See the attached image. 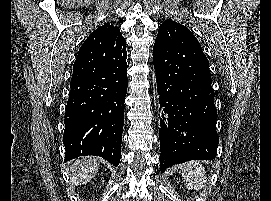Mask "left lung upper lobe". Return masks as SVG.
Here are the masks:
<instances>
[{"label": "left lung upper lobe", "mask_w": 271, "mask_h": 201, "mask_svg": "<svg viewBox=\"0 0 271 201\" xmlns=\"http://www.w3.org/2000/svg\"><path fill=\"white\" fill-rule=\"evenodd\" d=\"M183 27L185 26L172 20L164 21L159 27V32H158L155 42H164L170 39L171 37L176 35V33L180 30V28H183ZM206 61L209 64L207 58H206Z\"/></svg>", "instance_id": "1"}]
</instances>
